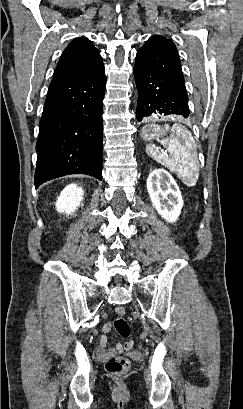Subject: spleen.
Listing matches in <instances>:
<instances>
[{
    "label": "spleen",
    "mask_w": 243,
    "mask_h": 409,
    "mask_svg": "<svg viewBox=\"0 0 243 409\" xmlns=\"http://www.w3.org/2000/svg\"><path fill=\"white\" fill-rule=\"evenodd\" d=\"M165 131H171L167 139L161 144L167 148L169 154L160 152L155 145H147L146 152L155 161L175 172L181 181L189 186H195L199 177L197 150L191 132L182 125H164Z\"/></svg>",
    "instance_id": "obj_1"
}]
</instances>
